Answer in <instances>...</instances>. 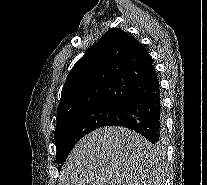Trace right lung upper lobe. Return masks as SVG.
<instances>
[{"label":"right lung upper lobe","mask_w":207,"mask_h":185,"mask_svg":"<svg viewBox=\"0 0 207 185\" xmlns=\"http://www.w3.org/2000/svg\"><path fill=\"white\" fill-rule=\"evenodd\" d=\"M157 77L146 48L111 28L70 71L61 93L57 122L103 104L123 105Z\"/></svg>","instance_id":"right-lung-upper-lobe-1"}]
</instances>
